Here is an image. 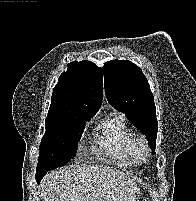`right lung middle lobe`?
<instances>
[{"label": "right lung middle lobe", "mask_w": 196, "mask_h": 201, "mask_svg": "<svg viewBox=\"0 0 196 201\" xmlns=\"http://www.w3.org/2000/svg\"><path fill=\"white\" fill-rule=\"evenodd\" d=\"M91 117L84 112L72 111L46 118V132L40 144L36 178H43L48 171L64 166L75 157L84 131V121Z\"/></svg>", "instance_id": "obj_1"}]
</instances>
